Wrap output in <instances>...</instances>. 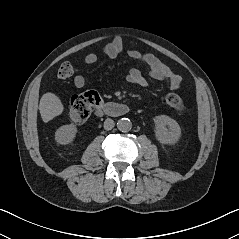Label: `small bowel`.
Returning <instances> with one entry per match:
<instances>
[{
    "instance_id": "c3829d8e",
    "label": "small bowel",
    "mask_w": 239,
    "mask_h": 239,
    "mask_svg": "<svg viewBox=\"0 0 239 239\" xmlns=\"http://www.w3.org/2000/svg\"><path fill=\"white\" fill-rule=\"evenodd\" d=\"M123 50V42L120 38H115L109 45H107L103 53L110 58L117 57ZM127 55L134 60L144 62L148 66L149 75L151 78L162 81L167 80L171 90H178L181 87V77L173 72L169 67L163 64L156 56L147 53H141L138 50L130 49ZM98 57L94 53H89L85 56L83 62L86 65L94 64ZM126 80L138 86L145 87L147 85L146 78L142 75L140 70L133 68L126 76ZM74 86L78 89H83L86 85V80L83 76L77 75L73 80Z\"/></svg>"
}]
</instances>
